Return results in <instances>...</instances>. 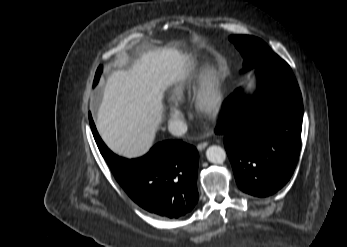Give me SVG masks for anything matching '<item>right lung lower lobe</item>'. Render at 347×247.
I'll use <instances>...</instances> for the list:
<instances>
[{
    "label": "right lung lower lobe",
    "instance_id": "right-lung-lower-lobe-1",
    "mask_svg": "<svg viewBox=\"0 0 347 247\" xmlns=\"http://www.w3.org/2000/svg\"><path fill=\"white\" fill-rule=\"evenodd\" d=\"M101 69L97 70L95 81ZM89 122L101 155L134 202L151 213L169 218H178L193 209L198 201L199 155L195 147L181 140H167L156 144L143 157L129 160L107 148L90 113Z\"/></svg>",
    "mask_w": 347,
    "mask_h": 247
}]
</instances>
